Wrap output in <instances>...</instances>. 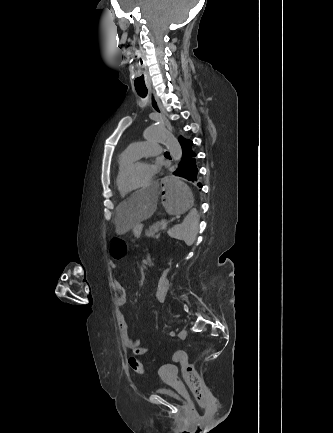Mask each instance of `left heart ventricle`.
I'll return each mask as SVG.
<instances>
[{
  "label": "left heart ventricle",
  "instance_id": "obj_1",
  "mask_svg": "<svg viewBox=\"0 0 333 433\" xmlns=\"http://www.w3.org/2000/svg\"><path fill=\"white\" fill-rule=\"evenodd\" d=\"M149 172L150 164L137 165L125 178L126 187L135 188L144 184L150 179Z\"/></svg>",
  "mask_w": 333,
  "mask_h": 433
}]
</instances>
